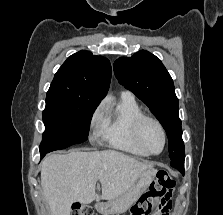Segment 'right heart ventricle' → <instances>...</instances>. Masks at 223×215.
Listing matches in <instances>:
<instances>
[{
  "label": "right heart ventricle",
  "mask_w": 223,
  "mask_h": 215,
  "mask_svg": "<svg viewBox=\"0 0 223 215\" xmlns=\"http://www.w3.org/2000/svg\"><path fill=\"white\" fill-rule=\"evenodd\" d=\"M142 115L144 113L134 97L123 94L115 107L104 110V124L96 136L115 149L143 156L134 138L135 123Z\"/></svg>",
  "instance_id": "e07e8e85"
}]
</instances>
